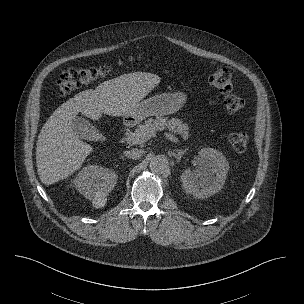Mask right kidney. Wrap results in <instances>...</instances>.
Segmentation results:
<instances>
[{
    "instance_id": "obj_1",
    "label": "right kidney",
    "mask_w": 304,
    "mask_h": 304,
    "mask_svg": "<svg viewBox=\"0 0 304 304\" xmlns=\"http://www.w3.org/2000/svg\"><path fill=\"white\" fill-rule=\"evenodd\" d=\"M116 182L115 172L97 164H89L82 168L73 180L75 188L85 198L97 201L100 207L105 205L106 197Z\"/></svg>"
}]
</instances>
